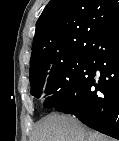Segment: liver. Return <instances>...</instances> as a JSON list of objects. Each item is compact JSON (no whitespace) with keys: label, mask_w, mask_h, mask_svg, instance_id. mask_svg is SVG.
Returning <instances> with one entry per match:
<instances>
[{"label":"liver","mask_w":119,"mask_h":141,"mask_svg":"<svg viewBox=\"0 0 119 141\" xmlns=\"http://www.w3.org/2000/svg\"><path fill=\"white\" fill-rule=\"evenodd\" d=\"M30 141H113L92 131L73 116L50 114L39 122Z\"/></svg>","instance_id":"liver-1"}]
</instances>
